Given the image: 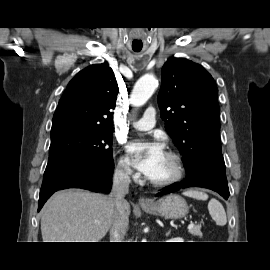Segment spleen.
<instances>
[{
	"instance_id": "obj_1",
	"label": "spleen",
	"mask_w": 270,
	"mask_h": 270,
	"mask_svg": "<svg viewBox=\"0 0 270 270\" xmlns=\"http://www.w3.org/2000/svg\"><path fill=\"white\" fill-rule=\"evenodd\" d=\"M183 195L197 199V200H207L208 195L202 191L188 190L184 191ZM208 210L212 219L219 226H224L227 223L226 213L222 204L217 199H211L208 203Z\"/></svg>"
}]
</instances>
